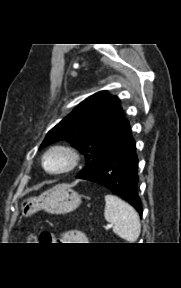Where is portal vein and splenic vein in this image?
<instances>
[{"mask_svg":"<svg viewBox=\"0 0 181 288\" xmlns=\"http://www.w3.org/2000/svg\"><path fill=\"white\" fill-rule=\"evenodd\" d=\"M113 226V224H107L106 229H110Z\"/></svg>","mask_w":181,"mask_h":288,"instance_id":"1","label":"portal vein and splenic vein"}]
</instances>
